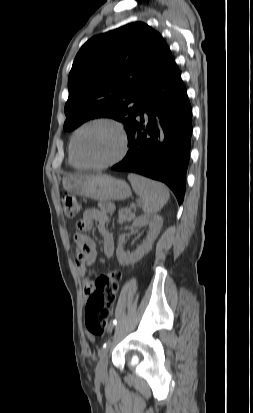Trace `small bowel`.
<instances>
[{
    "instance_id": "small-bowel-1",
    "label": "small bowel",
    "mask_w": 253,
    "mask_h": 413,
    "mask_svg": "<svg viewBox=\"0 0 253 413\" xmlns=\"http://www.w3.org/2000/svg\"><path fill=\"white\" fill-rule=\"evenodd\" d=\"M112 203H101L100 208L87 209L77 224L78 231L74 236L76 265L82 278L83 291L86 296L90 295L94 288L93 280L88 272L97 257L94 242L86 235L95 224L102 235V252L105 257H111L114 253L115 244L112 235L107 230L109 215L114 212Z\"/></svg>"
}]
</instances>
